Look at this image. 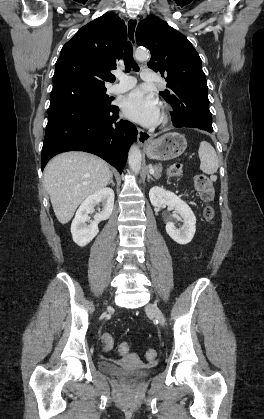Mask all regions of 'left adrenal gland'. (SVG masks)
<instances>
[{
	"label": "left adrenal gland",
	"instance_id": "a2214340",
	"mask_svg": "<svg viewBox=\"0 0 264 419\" xmlns=\"http://www.w3.org/2000/svg\"><path fill=\"white\" fill-rule=\"evenodd\" d=\"M149 167L151 168V165ZM147 180L148 181L149 180H153L154 181V178L151 176V174L149 172L147 173Z\"/></svg>",
	"mask_w": 264,
	"mask_h": 419
}]
</instances>
